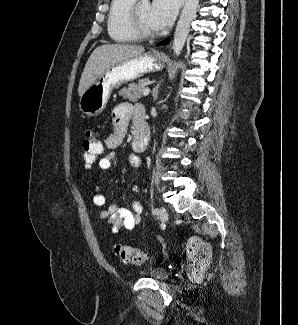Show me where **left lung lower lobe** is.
<instances>
[{
    "mask_svg": "<svg viewBox=\"0 0 298 325\" xmlns=\"http://www.w3.org/2000/svg\"><path fill=\"white\" fill-rule=\"evenodd\" d=\"M168 42H169V39H166V40L162 41L161 43H159L158 45H166V44H168Z\"/></svg>",
    "mask_w": 298,
    "mask_h": 325,
    "instance_id": "obj_1",
    "label": "left lung lower lobe"
}]
</instances>
